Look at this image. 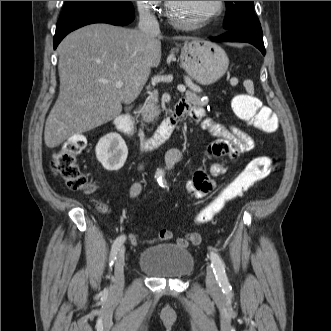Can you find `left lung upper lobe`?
<instances>
[{
  "instance_id": "1",
  "label": "left lung upper lobe",
  "mask_w": 331,
  "mask_h": 331,
  "mask_svg": "<svg viewBox=\"0 0 331 331\" xmlns=\"http://www.w3.org/2000/svg\"><path fill=\"white\" fill-rule=\"evenodd\" d=\"M227 13L224 28L231 30L260 24L253 10L254 1H225Z\"/></svg>"
}]
</instances>
